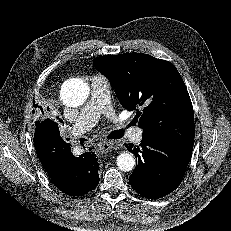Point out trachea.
Masks as SVG:
<instances>
[{
	"label": "trachea",
	"mask_w": 231,
	"mask_h": 231,
	"mask_svg": "<svg viewBox=\"0 0 231 231\" xmlns=\"http://www.w3.org/2000/svg\"><path fill=\"white\" fill-rule=\"evenodd\" d=\"M124 136V132L122 130H115L112 131L109 135L108 138L109 139H120Z\"/></svg>",
	"instance_id": "trachea-1"
}]
</instances>
